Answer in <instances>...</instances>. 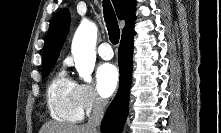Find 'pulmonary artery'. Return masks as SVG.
Masks as SVG:
<instances>
[{
	"instance_id": "obj_1",
	"label": "pulmonary artery",
	"mask_w": 221,
	"mask_h": 133,
	"mask_svg": "<svg viewBox=\"0 0 221 133\" xmlns=\"http://www.w3.org/2000/svg\"><path fill=\"white\" fill-rule=\"evenodd\" d=\"M97 52H98V55L104 60H110L113 58V55H114L111 45L107 42L100 44Z\"/></svg>"
}]
</instances>
